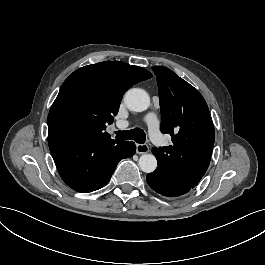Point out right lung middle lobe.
I'll list each match as a JSON object with an SVG mask.
<instances>
[{
    "mask_svg": "<svg viewBox=\"0 0 265 265\" xmlns=\"http://www.w3.org/2000/svg\"><path fill=\"white\" fill-rule=\"evenodd\" d=\"M93 120V110L84 104L67 103L59 106L48 116L49 133L87 135Z\"/></svg>",
    "mask_w": 265,
    "mask_h": 265,
    "instance_id": "dd1d6c3e",
    "label": "right lung middle lobe"
}]
</instances>
